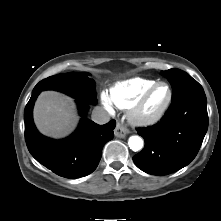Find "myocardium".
<instances>
[{
	"mask_svg": "<svg viewBox=\"0 0 221 221\" xmlns=\"http://www.w3.org/2000/svg\"><path fill=\"white\" fill-rule=\"evenodd\" d=\"M164 85L168 89V97L164 103V105L154 114H147L144 111L145 105L159 86ZM173 100V90L169 83L165 81L155 82L152 86H150L136 101V103L130 108L129 117L131 121L138 126H151L158 123L167 113L171 103Z\"/></svg>",
	"mask_w": 221,
	"mask_h": 221,
	"instance_id": "myocardium-1",
	"label": "myocardium"
}]
</instances>
